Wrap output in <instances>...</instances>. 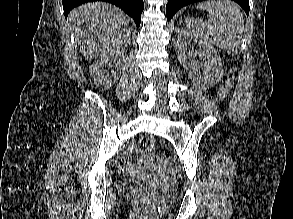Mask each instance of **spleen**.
<instances>
[{"label": "spleen", "mask_w": 293, "mask_h": 219, "mask_svg": "<svg viewBox=\"0 0 293 219\" xmlns=\"http://www.w3.org/2000/svg\"><path fill=\"white\" fill-rule=\"evenodd\" d=\"M197 9L207 10L208 21L186 18L189 30L199 38L237 54L244 31V19L239 7L229 0H211L200 3Z\"/></svg>", "instance_id": "1"}]
</instances>
